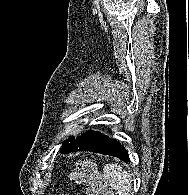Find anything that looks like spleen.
I'll list each match as a JSON object with an SVG mask.
<instances>
[{
  "label": "spleen",
  "instance_id": "spleen-1",
  "mask_svg": "<svg viewBox=\"0 0 189 195\" xmlns=\"http://www.w3.org/2000/svg\"><path fill=\"white\" fill-rule=\"evenodd\" d=\"M103 173L118 195H129L131 180L126 170H123L120 165L112 163L104 166Z\"/></svg>",
  "mask_w": 189,
  "mask_h": 195
}]
</instances>
